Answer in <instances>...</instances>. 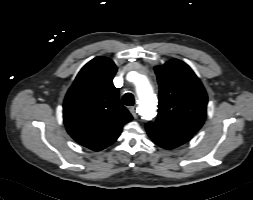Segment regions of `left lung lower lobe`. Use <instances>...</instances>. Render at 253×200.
<instances>
[{
  "mask_svg": "<svg viewBox=\"0 0 253 200\" xmlns=\"http://www.w3.org/2000/svg\"><path fill=\"white\" fill-rule=\"evenodd\" d=\"M146 130L150 138L160 147L164 149H173L186 143L191 137V134L164 129L146 124Z\"/></svg>",
  "mask_w": 253,
  "mask_h": 200,
  "instance_id": "obj_1",
  "label": "left lung lower lobe"
}]
</instances>
